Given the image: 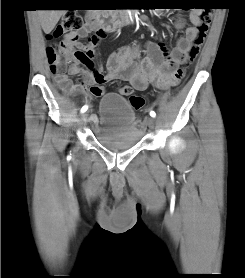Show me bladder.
Wrapping results in <instances>:
<instances>
[{"label":"bladder","mask_w":245,"mask_h":278,"mask_svg":"<svg viewBox=\"0 0 245 278\" xmlns=\"http://www.w3.org/2000/svg\"><path fill=\"white\" fill-rule=\"evenodd\" d=\"M98 141L111 150L138 145L143 131L138 127L134 107L122 95L106 93L100 101Z\"/></svg>","instance_id":"31cf9c89"}]
</instances>
